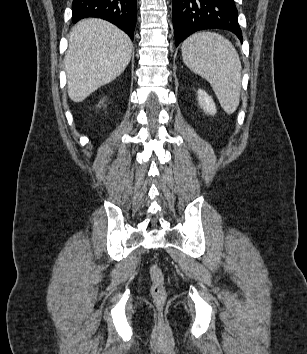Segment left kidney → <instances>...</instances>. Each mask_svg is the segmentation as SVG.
<instances>
[{
  "label": "left kidney",
  "mask_w": 307,
  "mask_h": 354,
  "mask_svg": "<svg viewBox=\"0 0 307 354\" xmlns=\"http://www.w3.org/2000/svg\"><path fill=\"white\" fill-rule=\"evenodd\" d=\"M198 94V103L199 106L204 110L205 113L209 115L216 114V105L211 96H209L204 90L199 89Z\"/></svg>",
  "instance_id": "left-kidney-1"
}]
</instances>
